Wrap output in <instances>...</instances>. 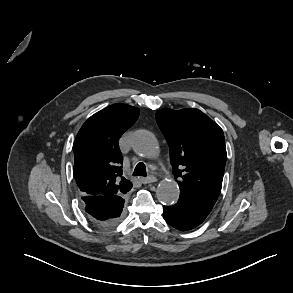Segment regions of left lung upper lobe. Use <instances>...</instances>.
I'll return each instance as SVG.
<instances>
[{"label": "left lung upper lobe", "mask_w": 293, "mask_h": 293, "mask_svg": "<svg viewBox=\"0 0 293 293\" xmlns=\"http://www.w3.org/2000/svg\"><path fill=\"white\" fill-rule=\"evenodd\" d=\"M156 121L169 148L179 199L210 212L220 194L227 158L222 129L198 109H161Z\"/></svg>", "instance_id": "5c2ea615"}]
</instances>
